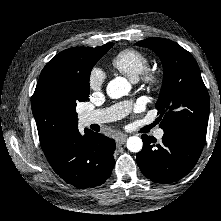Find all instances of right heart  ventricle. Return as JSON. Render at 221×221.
Segmentation results:
<instances>
[{"label":"right heart ventricle","mask_w":221,"mask_h":221,"mask_svg":"<svg viewBox=\"0 0 221 221\" xmlns=\"http://www.w3.org/2000/svg\"><path fill=\"white\" fill-rule=\"evenodd\" d=\"M114 69L127 76L131 81H137L148 68L149 58L140 50L126 48L114 54L110 60Z\"/></svg>","instance_id":"1"}]
</instances>
